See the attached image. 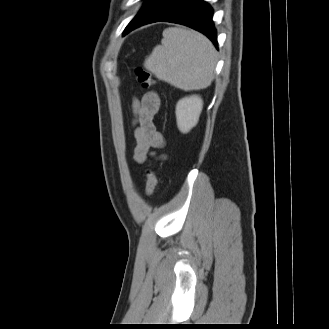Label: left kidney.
I'll use <instances>...</instances> for the list:
<instances>
[{
  "mask_svg": "<svg viewBox=\"0 0 329 329\" xmlns=\"http://www.w3.org/2000/svg\"><path fill=\"white\" fill-rule=\"evenodd\" d=\"M203 101L197 95L185 97L176 105V119L178 129L182 133H188L198 123L202 111Z\"/></svg>",
  "mask_w": 329,
  "mask_h": 329,
  "instance_id": "obj_1",
  "label": "left kidney"
}]
</instances>
